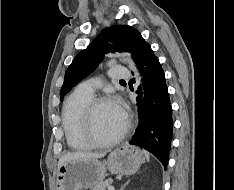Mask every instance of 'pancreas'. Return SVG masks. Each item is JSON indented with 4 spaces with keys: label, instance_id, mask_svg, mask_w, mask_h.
I'll return each mask as SVG.
<instances>
[{
    "label": "pancreas",
    "instance_id": "1",
    "mask_svg": "<svg viewBox=\"0 0 234 190\" xmlns=\"http://www.w3.org/2000/svg\"><path fill=\"white\" fill-rule=\"evenodd\" d=\"M111 182L109 180L103 181L101 183H98L94 187L91 188V190H106V188L110 187Z\"/></svg>",
    "mask_w": 234,
    "mask_h": 190
}]
</instances>
